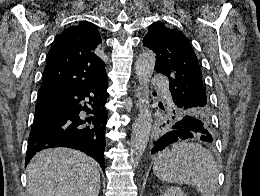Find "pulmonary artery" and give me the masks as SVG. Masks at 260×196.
<instances>
[{"instance_id":"obj_1","label":"pulmonary artery","mask_w":260,"mask_h":196,"mask_svg":"<svg viewBox=\"0 0 260 196\" xmlns=\"http://www.w3.org/2000/svg\"><path fill=\"white\" fill-rule=\"evenodd\" d=\"M167 80L162 79L161 76H155L154 79H152V84H166Z\"/></svg>"}]
</instances>
